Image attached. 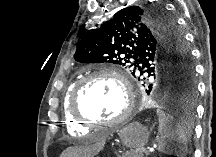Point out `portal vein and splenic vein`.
Segmentation results:
<instances>
[{
    "label": "portal vein and splenic vein",
    "mask_w": 216,
    "mask_h": 157,
    "mask_svg": "<svg viewBox=\"0 0 216 157\" xmlns=\"http://www.w3.org/2000/svg\"><path fill=\"white\" fill-rule=\"evenodd\" d=\"M150 150H152V148L147 147L146 151L149 152Z\"/></svg>",
    "instance_id": "portal-vein-and-splenic-vein-1"
}]
</instances>
